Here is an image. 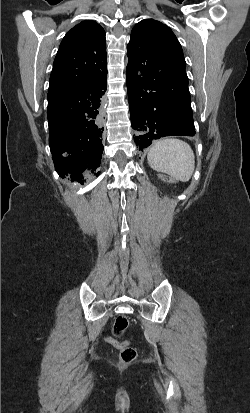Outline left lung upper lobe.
<instances>
[{
    "mask_svg": "<svg viewBox=\"0 0 250 413\" xmlns=\"http://www.w3.org/2000/svg\"><path fill=\"white\" fill-rule=\"evenodd\" d=\"M147 39L154 40L156 66L172 70L178 76H187L181 45L169 27L153 19L140 21L132 29L127 50Z\"/></svg>",
    "mask_w": 250,
    "mask_h": 413,
    "instance_id": "1",
    "label": "left lung upper lobe"
}]
</instances>
